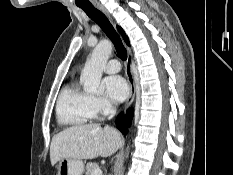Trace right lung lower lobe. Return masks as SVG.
I'll use <instances>...</instances> for the list:
<instances>
[{"label":"right lung lower lobe","mask_w":233,"mask_h":175,"mask_svg":"<svg viewBox=\"0 0 233 175\" xmlns=\"http://www.w3.org/2000/svg\"><path fill=\"white\" fill-rule=\"evenodd\" d=\"M133 117V110L129 109L126 113V116H124L123 113L119 114L116 119L117 128L123 133L127 134L128 127L130 126L131 120Z\"/></svg>","instance_id":"right-lung-lower-lobe-1"}]
</instances>
